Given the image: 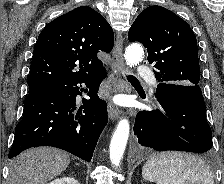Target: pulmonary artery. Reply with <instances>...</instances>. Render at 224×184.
<instances>
[{"label":"pulmonary artery","mask_w":224,"mask_h":184,"mask_svg":"<svg viewBox=\"0 0 224 184\" xmlns=\"http://www.w3.org/2000/svg\"><path fill=\"white\" fill-rule=\"evenodd\" d=\"M137 76L140 77H150L151 78V86L154 87L156 85V80L152 77V73L146 66H139L136 72Z\"/></svg>","instance_id":"pulmonary-artery-1"}]
</instances>
